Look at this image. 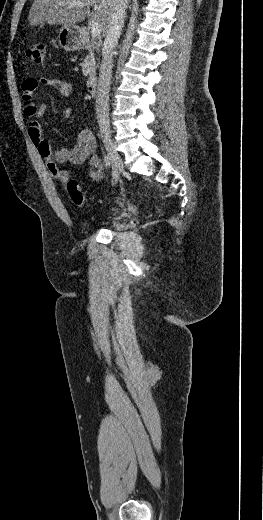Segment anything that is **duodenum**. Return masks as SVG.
<instances>
[{
	"label": "duodenum",
	"instance_id": "410a0bca",
	"mask_svg": "<svg viewBox=\"0 0 263 520\" xmlns=\"http://www.w3.org/2000/svg\"><path fill=\"white\" fill-rule=\"evenodd\" d=\"M84 45L85 47L88 46V40L86 33L84 34ZM86 87L87 91L91 96H95L97 94V88H98V77L95 73H91L88 75L86 80Z\"/></svg>",
	"mask_w": 263,
	"mask_h": 520
}]
</instances>
